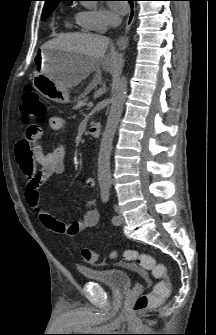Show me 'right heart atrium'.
<instances>
[{"label":"right heart atrium","mask_w":216,"mask_h":335,"mask_svg":"<svg viewBox=\"0 0 216 335\" xmlns=\"http://www.w3.org/2000/svg\"><path fill=\"white\" fill-rule=\"evenodd\" d=\"M80 16L88 29L97 32H104L115 18L105 9L83 10Z\"/></svg>","instance_id":"right-heart-atrium-1"}]
</instances>
